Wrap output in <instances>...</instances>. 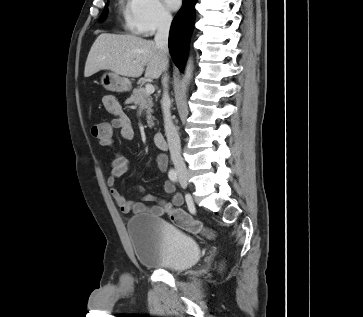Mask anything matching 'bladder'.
<instances>
[{
  "label": "bladder",
  "instance_id": "bladder-1",
  "mask_svg": "<svg viewBox=\"0 0 363 317\" xmlns=\"http://www.w3.org/2000/svg\"><path fill=\"white\" fill-rule=\"evenodd\" d=\"M126 230L143 267L181 272L201 258L198 241L162 218L137 214L129 219Z\"/></svg>",
  "mask_w": 363,
  "mask_h": 317
}]
</instances>
